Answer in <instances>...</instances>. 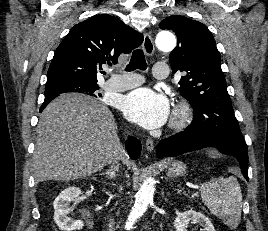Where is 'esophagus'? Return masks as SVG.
Returning <instances> with one entry per match:
<instances>
[{"label":"esophagus","mask_w":268,"mask_h":231,"mask_svg":"<svg viewBox=\"0 0 268 231\" xmlns=\"http://www.w3.org/2000/svg\"><path fill=\"white\" fill-rule=\"evenodd\" d=\"M142 49L145 52L146 55L151 56L154 53V44L152 37L146 33L144 35L143 43H142ZM146 150L151 152L154 150V142L152 139H147L145 143Z\"/></svg>","instance_id":"esophagus-1"}]
</instances>
